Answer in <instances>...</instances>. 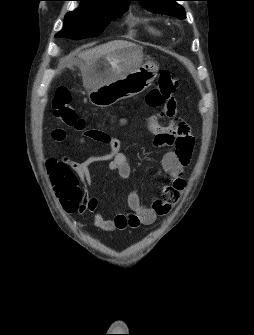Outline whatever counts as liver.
Returning a JSON list of instances; mask_svg holds the SVG:
<instances>
[{
    "label": "liver",
    "mask_w": 254,
    "mask_h": 335,
    "mask_svg": "<svg viewBox=\"0 0 254 335\" xmlns=\"http://www.w3.org/2000/svg\"><path fill=\"white\" fill-rule=\"evenodd\" d=\"M128 46H134V44L127 41L115 40L80 53L79 57L83 60L80 69L83 75L84 85L87 87L85 80L86 74L98 59L110 55L117 49Z\"/></svg>",
    "instance_id": "liver-1"
}]
</instances>
